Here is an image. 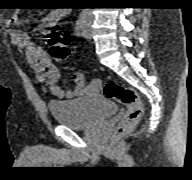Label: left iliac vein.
I'll list each match as a JSON object with an SVG mask.
<instances>
[{
    "label": "left iliac vein",
    "mask_w": 192,
    "mask_h": 180,
    "mask_svg": "<svg viewBox=\"0 0 192 180\" xmlns=\"http://www.w3.org/2000/svg\"><path fill=\"white\" fill-rule=\"evenodd\" d=\"M83 37H84L85 39H88V40L91 39L92 34H91V29H90V23H87V24L85 25V28H84V31H83Z\"/></svg>",
    "instance_id": "1"
}]
</instances>
